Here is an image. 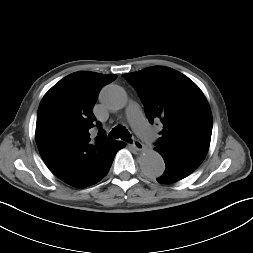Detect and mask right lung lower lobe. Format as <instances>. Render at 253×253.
Returning <instances> with one entry per match:
<instances>
[{"instance_id":"98d812e1","label":"right lung lower lobe","mask_w":253,"mask_h":253,"mask_svg":"<svg viewBox=\"0 0 253 253\" xmlns=\"http://www.w3.org/2000/svg\"><path fill=\"white\" fill-rule=\"evenodd\" d=\"M124 146L125 143L122 141H113L112 144L107 148L104 156V169L101 179L108 173L116 153Z\"/></svg>"}]
</instances>
